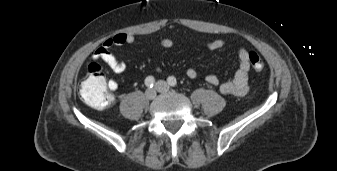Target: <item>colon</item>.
Instances as JSON below:
<instances>
[{
	"label": "colon",
	"mask_w": 337,
	"mask_h": 171,
	"mask_svg": "<svg viewBox=\"0 0 337 171\" xmlns=\"http://www.w3.org/2000/svg\"><path fill=\"white\" fill-rule=\"evenodd\" d=\"M249 62L254 71L263 70L264 63L259 55L250 52ZM79 96L84 103L95 109H105L113 102V96L108 88L105 75L100 65L92 62L88 66V73L79 87Z\"/></svg>",
	"instance_id": "colon-1"
}]
</instances>
